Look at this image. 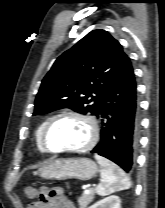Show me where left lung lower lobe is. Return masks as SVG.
<instances>
[{
	"label": "left lung lower lobe",
	"mask_w": 165,
	"mask_h": 208,
	"mask_svg": "<svg viewBox=\"0 0 165 208\" xmlns=\"http://www.w3.org/2000/svg\"><path fill=\"white\" fill-rule=\"evenodd\" d=\"M97 117L101 121L100 142L91 152L131 172L138 146L140 115L135 75L129 58L106 88Z\"/></svg>",
	"instance_id": "left-lung-lower-lobe-1"
}]
</instances>
